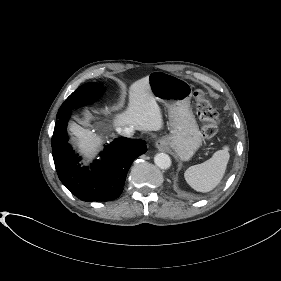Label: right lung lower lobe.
I'll use <instances>...</instances> for the list:
<instances>
[{"mask_svg":"<svg viewBox=\"0 0 281 281\" xmlns=\"http://www.w3.org/2000/svg\"><path fill=\"white\" fill-rule=\"evenodd\" d=\"M71 111L57 119L52 137V155L61 182L83 201H111L123 191L132 162L147 151L140 139L117 138L90 167L81 166L80 157L68 143L67 122Z\"/></svg>","mask_w":281,"mask_h":281,"instance_id":"1","label":"right lung lower lobe"}]
</instances>
